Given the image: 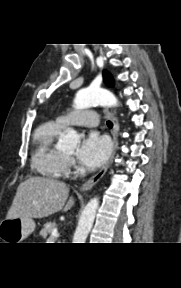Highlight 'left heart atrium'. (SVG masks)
<instances>
[{"instance_id": "1", "label": "left heart atrium", "mask_w": 181, "mask_h": 288, "mask_svg": "<svg viewBox=\"0 0 181 288\" xmlns=\"http://www.w3.org/2000/svg\"><path fill=\"white\" fill-rule=\"evenodd\" d=\"M111 151L110 141L97 132H90L83 140L77 158L88 168L100 166L108 158Z\"/></svg>"}]
</instances>
